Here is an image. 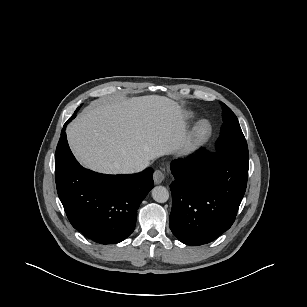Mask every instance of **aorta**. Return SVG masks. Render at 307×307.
Instances as JSON below:
<instances>
[{"instance_id":"762f6f07","label":"aorta","mask_w":307,"mask_h":307,"mask_svg":"<svg viewBox=\"0 0 307 307\" xmlns=\"http://www.w3.org/2000/svg\"><path fill=\"white\" fill-rule=\"evenodd\" d=\"M152 197L158 203H164L169 199V192L164 186H156L152 189Z\"/></svg>"}]
</instances>
